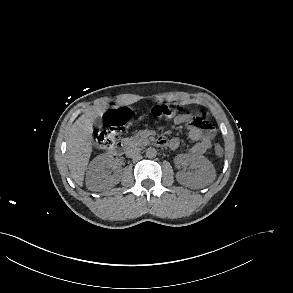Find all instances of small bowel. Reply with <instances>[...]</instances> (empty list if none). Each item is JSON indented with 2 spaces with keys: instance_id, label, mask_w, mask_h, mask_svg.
Wrapping results in <instances>:
<instances>
[{
  "instance_id": "obj_1",
  "label": "small bowel",
  "mask_w": 293,
  "mask_h": 293,
  "mask_svg": "<svg viewBox=\"0 0 293 293\" xmlns=\"http://www.w3.org/2000/svg\"><path fill=\"white\" fill-rule=\"evenodd\" d=\"M195 113L179 114L175 117L174 123H184L189 126V137L195 143L188 149V153L198 155L211 148L215 132L205 120L200 121ZM160 143L167 145L172 150H177L180 147V142L176 138L167 140L165 137H161Z\"/></svg>"
}]
</instances>
